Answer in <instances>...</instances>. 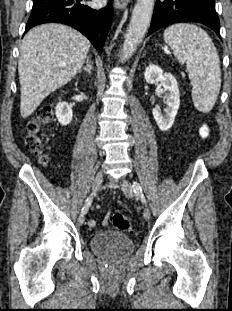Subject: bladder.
<instances>
[{"instance_id": "obj_1", "label": "bladder", "mask_w": 232, "mask_h": 311, "mask_svg": "<svg viewBox=\"0 0 232 311\" xmlns=\"http://www.w3.org/2000/svg\"><path fill=\"white\" fill-rule=\"evenodd\" d=\"M92 251L110 259H119L133 251L134 243L124 233L105 230L90 239Z\"/></svg>"}]
</instances>
